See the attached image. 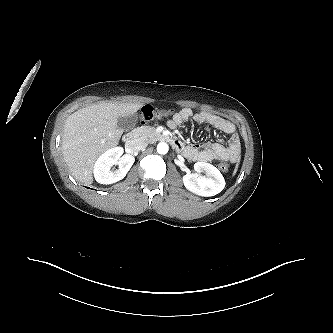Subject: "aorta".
Listing matches in <instances>:
<instances>
[{
  "instance_id": "obj_1",
  "label": "aorta",
  "mask_w": 333,
  "mask_h": 333,
  "mask_svg": "<svg viewBox=\"0 0 333 333\" xmlns=\"http://www.w3.org/2000/svg\"><path fill=\"white\" fill-rule=\"evenodd\" d=\"M169 150V146L167 143L165 142H160L158 145H157V152L159 154H166Z\"/></svg>"
}]
</instances>
